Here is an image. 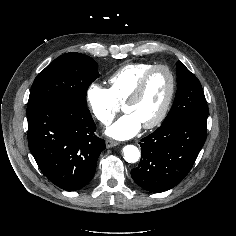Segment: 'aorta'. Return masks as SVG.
Wrapping results in <instances>:
<instances>
[{"mask_svg": "<svg viewBox=\"0 0 236 236\" xmlns=\"http://www.w3.org/2000/svg\"><path fill=\"white\" fill-rule=\"evenodd\" d=\"M124 159L128 163H135L140 159V151L134 145H127L123 148Z\"/></svg>", "mask_w": 236, "mask_h": 236, "instance_id": "obj_1", "label": "aorta"}]
</instances>
